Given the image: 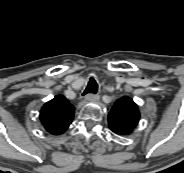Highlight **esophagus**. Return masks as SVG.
Here are the masks:
<instances>
[{
	"instance_id": "obj_1",
	"label": "esophagus",
	"mask_w": 184,
	"mask_h": 173,
	"mask_svg": "<svg viewBox=\"0 0 184 173\" xmlns=\"http://www.w3.org/2000/svg\"><path fill=\"white\" fill-rule=\"evenodd\" d=\"M99 95H94V94H87L85 97H84V100L86 101H91V102H96L99 100Z\"/></svg>"
}]
</instances>
